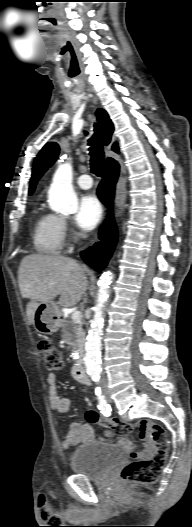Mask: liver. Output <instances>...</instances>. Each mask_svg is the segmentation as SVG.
Segmentation results:
<instances>
[{
	"mask_svg": "<svg viewBox=\"0 0 192 527\" xmlns=\"http://www.w3.org/2000/svg\"><path fill=\"white\" fill-rule=\"evenodd\" d=\"M18 283L22 297L30 299L26 316L28 324L32 325L40 303L60 295L59 304L72 307L86 293L88 281L85 267L72 258L30 254L20 263Z\"/></svg>",
	"mask_w": 192,
	"mask_h": 527,
	"instance_id": "obj_1",
	"label": "liver"
}]
</instances>
